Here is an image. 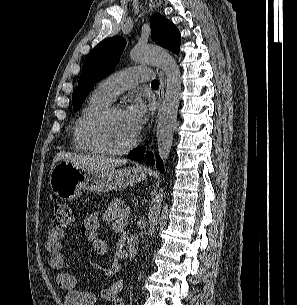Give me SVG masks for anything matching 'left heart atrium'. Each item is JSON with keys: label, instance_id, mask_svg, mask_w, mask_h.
I'll return each mask as SVG.
<instances>
[{"label": "left heart atrium", "instance_id": "39dd6f15", "mask_svg": "<svg viewBox=\"0 0 297 305\" xmlns=\"http://www.w3.org/2000/svg\"><path fill=\"white\" fill-rule=\"evenodd\" d=\"M123 115L133 135H138L145 126L148 117L144 101L135 97L123 111Z\"/></svg>", "mask_w": 297, "mask_h": 305}]
</instances>
